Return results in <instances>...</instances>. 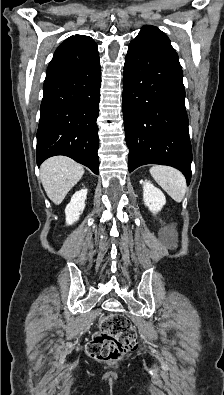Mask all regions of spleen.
I'll return each mask as SVG.
<instances>
[{
	"label": "spleen",
	"mask_w": 224,
	"mask_h": 395,
	"mask_svg": "<svg viewBox=\"0 0 224 395\" xmlns=\"http://www.w3.org/2000/svg\"><path fill=\"white\" fill-rule=\"evenodd\" d=\"M150 173L155 181L176 202H181L186 193V179L184 175L175 168L156 165L151 167Z\"/></svg>",
	"instance_id": "obj_1"
}]
</instances>
